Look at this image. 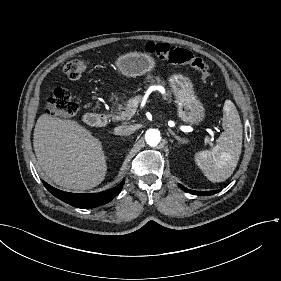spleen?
<instances>
[{
	"instance_id": "3e777b00",
	"label": "spleen",
	"mask_w": 281,
	"mask_h": 281,
	"mask_svg": "<svg viewBox=\"0 0 281 281\" xmlns=\"http://www.w3.org/2000/svg\"><path fill=\"white\" fill-rule=\"evenodd\" d=\"M222 120L225 131L216 139L213 149L193 155L195 165L213 183L223 182L232 175L241 154V120L230 100H226L224 104Z\"/></svg>"
}]
</instances>
